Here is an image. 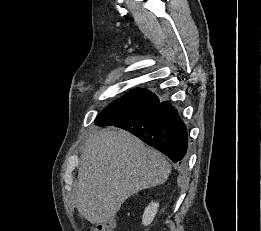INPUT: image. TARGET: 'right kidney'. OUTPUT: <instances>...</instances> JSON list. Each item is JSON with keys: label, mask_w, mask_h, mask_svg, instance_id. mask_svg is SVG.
Masks as SVG:
<instances>
[{"label": "right kidney", "mask_w": 261, "mask_h": 231, "mask_svg": "<svg viewBox=\"0 0 261 231\" xmlns=\"http://www.w3.org/2000/svg\"><path fill=\"white\" fill-rule=\"evenodd\" d=\"M159 203L151 202L146 208L142 216L143 225L147 226L151 224L153 221L157 211H158Z\"/></svg>", "instance_id": "1"}]
</instances>
